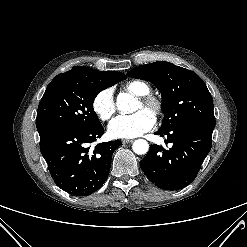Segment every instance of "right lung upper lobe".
I'll return each instance as SVG.
<instances>
[{
	"label": "right lung upper lobe",
	"mask_w": 247,
	"mask_h": 247,
	"mask_svg": "<svg viewBox=\"0 0 247 247\" xmlns=\"http://www.w3.org/2000/svg\"><path fill=\"white\" fill-rule=\"evenodd\" d=\"M63 74H77V75H84L91 78H99V79H107L113 81H122L125 80L127 77L121 72H106V71H96L92 68L83 67V66H75L71 70L63 73Z\"/></svg>",
	"instance_id": "1"
}]
</instances>
